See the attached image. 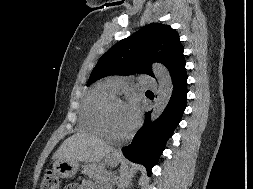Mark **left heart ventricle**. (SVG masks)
<instances>
[{"instance_id": "left-heart-ventricle-1", "label": "left heart ventricle", "mask_w": 253, "mask_h": 189, "mask_svg": "<svg viewBox=\"0 0 253 189\" xmlns=\"http://www.w3.org/2000/svg\"><path fill=\"white\" fill-rule=\"evenodd\" d=\"M109 125L115 133L119 134L125 133L133 126L126 111V104L116 103L112 105L109 111Z\"/></svg>"}]
</instances>
